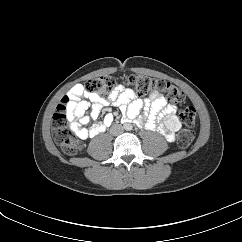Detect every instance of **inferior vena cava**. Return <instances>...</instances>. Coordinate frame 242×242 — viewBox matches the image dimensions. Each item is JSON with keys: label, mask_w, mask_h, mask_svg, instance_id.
Here are the masks:
<instances>
[{"label": "inferior vena cava", "mask_w": 242, "mask_h": 242, "mask_svg": "<svg viewBox=\"0 0 242 242\" xmlns=\"http://www.w3.org/2000/svg\"><path fill=\"white\" fill-rule=\"evenodd\" d=\"M123 132V127L121 125H115L111 128V133L114 135L121 134Z\"/></svg>", "instance_id": "obj_1"}]
</instances>
